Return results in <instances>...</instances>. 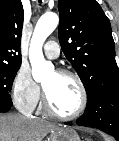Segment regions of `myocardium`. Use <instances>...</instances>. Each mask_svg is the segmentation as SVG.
Returning a JSON list of instances; mask_svg holds the SVG:
<instances>
[{
    "mask_svg": "<svg viewBox=\"0 0 119 141\" xmlns=\"http://www.w3.org/2000/svg\"><path fill=\"white\" fill-rule=\"evenodd\" d=\"M58 75H61V76H69L71 78H73L78 87H79V90H80V94H81V100H80V105L78 107V109L71 113V114H62V113H59L58 111H56L52 105L50 104L49 100H48V97L46 95V92L45 90H43V107H44V110L46 111V113H48L49 115L55 117V118H58V119H62V120H73V119H76L78 117H80L86 110L87 108V105H88V93H87V89L85 87V84L83 82V80L81 79V77L71 71V70H68V69H57L55 71Z\"/></svg>",
    "mask_w": 119,
    "mask_h": 141,
    "instance_id": "1",
    "label": "myocardium"
}]
</instances>
